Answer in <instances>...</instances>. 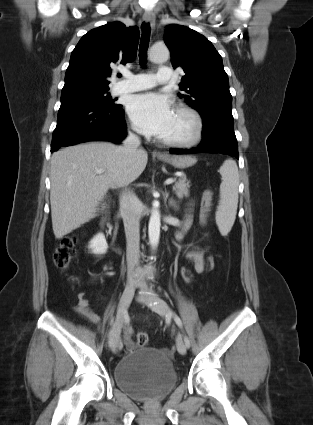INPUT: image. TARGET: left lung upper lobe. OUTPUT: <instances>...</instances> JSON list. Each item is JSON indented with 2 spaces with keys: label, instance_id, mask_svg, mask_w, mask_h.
Here are the masks:
<instances>
[{
  "label": "left lung upper lobe",
  "instance_id": "1",
  "mask_svg": "<svg viewBox=\"0 0 313 425\" xmlns=\"http://www.w3.org/2000/svg\"><path fill=\"white\" fill-rule=\"evenodd\" d=\"M164 40L171 52L174 68L182 67L178 94L203 117L212 114L232 115V96L228 76L220 54L203 35L183 25H169Z\"/></svg>",
  "mask_w": 313,
  "mask_h": 425
}]
</instances>
